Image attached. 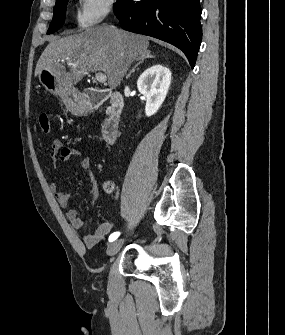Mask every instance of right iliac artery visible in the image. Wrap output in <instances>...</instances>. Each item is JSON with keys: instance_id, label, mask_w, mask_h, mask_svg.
<instances>
[{"instance_id": "right-iliac-artery-1", "label": "right iliac artery", "mask_w": 285, "mask_h": 335, "mask_svg": "<svg viewBox=\"0 0 285 335\" xmlns=\"http://www.w3.org/2000/svg\"><path fill=\"white\" fill-rule=\"evenodd\" d=\"M120 235V232H114L109 236V241L112 242L114 240H116Z\"/></svg>"}]
</instances>
